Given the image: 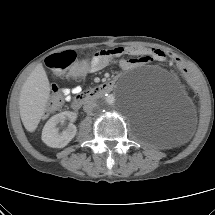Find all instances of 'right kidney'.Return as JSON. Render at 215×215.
<instances>
[{"instance_id":"obj_1","label":"right kidney","mask_w":215,"mask_h":215,"mask_svg":"<svg viewBox=\"0 0 215 215\" xmlns=\"http://www.w3.org/2000/svg\"><path fill=\"white\" fill-rule=\"evenodd\" d=\"M77 114L65 111L52 116L45 124L42 131V141L52 148L65 147L76 135L77 128L70 123L63 131H60L57 125L65 120L75 121Z\"/></svg>"}]
</instances>
